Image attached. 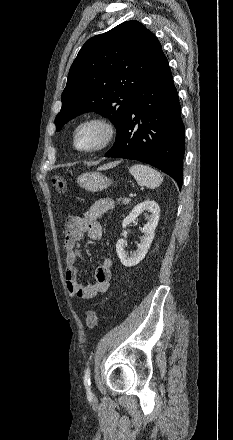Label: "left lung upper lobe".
<instances>
[{
	"label": "left lung upper lobe",
	"instance_id": "left-lung-upper-lobe-1",
	"mask_svg": "<svg viewBox=\"0 0 233 440\" xmlns=\"http://www.w3.org/2000/svg\"><path fill=\"white\" fill-rule=\"evenodd\" d=\"M162 53L157 38L138 21L90 38L69 70L56 130L82 113L96 111L111 120L118 134L133 97Z\"/></svg>",
	"mask_w": 233,
	"mask_h": 440
}]
</instances>
